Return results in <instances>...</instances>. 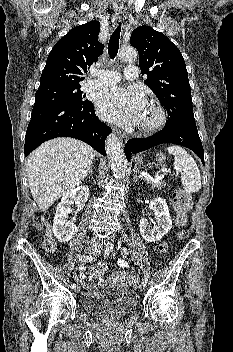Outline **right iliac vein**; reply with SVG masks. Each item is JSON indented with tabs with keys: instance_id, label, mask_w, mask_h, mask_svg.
<instances>
[{
	"instance_id": "63e3f726",
	"label": "right iliac vein",
	"mask_w": 233,
	"mask_h": 352,
	"mask_svg": "<svg viewBox=\"0 0 233 352\" xmlns=\"http://www.w3.org/2000/svg\"><path fill=\"white\" fill-rule=\"evenodd\" d=\"M87 251L90 253V254H97L98 253V251H99V249L96 247V246H94V245H89L88 247H87ZM74 291L75 292H79L80 291V287L79 286H76L75 288H74Z\"/></svg>"
}]
</instances>
